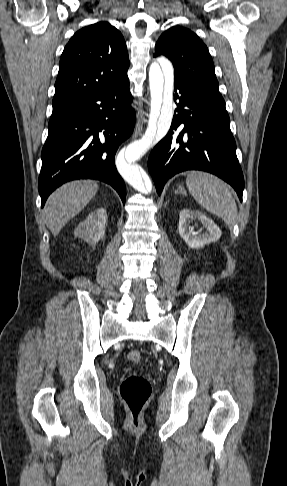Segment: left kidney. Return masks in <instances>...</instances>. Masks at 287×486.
<instances>
[{"mask_svg":"<svg viewBox=\"0 0 287 486\" xmlns=\"http://www.w3.org/2000/svg\"><path fill=\"white\" fill-rule=\"evenodd\" d=\"M195 220H199L203 224L207 229L206 233L200 234L193 231L190 223ZM178 231L181 238L192 249H199L207 244L216 242L222 235L221 230L212 219L190 209H183L180 212Z\"/></svg>","mask_w":287,"mask_h":486,"instance_id":"5707ae66","label":"left kidney"}]
</instances>
